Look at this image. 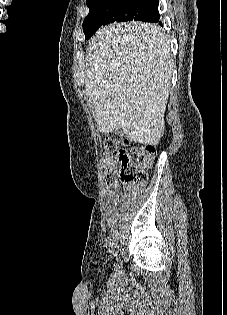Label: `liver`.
I'll return each mask as SVG.
<instances>
[{
  "label": "liver",
  "instance_id": "liver-1",
  "mask_svg": "<svg viewBox=\"0 0 227 315\" xmlns=\"http://www.w3.org/2000/svg\"><path fill=\"white\" fill-rule=\"evenodd\" d=\"M86 96L101 132L122 128L131 141L157 145L164 134L173 64L163 29L144 22L102 27L87 47Z\"/></svg>",
  "mask_w": 227,
  "mask_h": 315
}]
</instances>
